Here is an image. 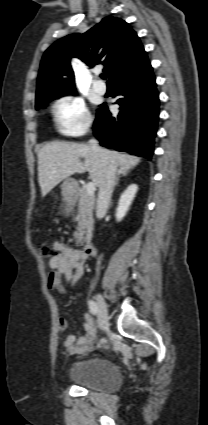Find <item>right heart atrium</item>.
I'll return each mask as SVG.
<instances>
[{
    "label": "right heart atrium",
    "mask_w": 208,
    "mask_h": 425,
    "mask_svg": "<svg viewBox=\"0 0 208 425\" xmlns=\"http://www.w3.org/2000/svg\"><path fill=\"white\" fill-rule=\"evenodd\" d=\"M53 114L60 131L76 136L85 133L92 124L84 101L76 96H64L54 105Z\"/></svg>",
    "instance_id": "1"
}]
</instances>
